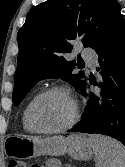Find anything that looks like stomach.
<instances>
[{"instance_id":"obj_1","label":"stomach","mask_w":125,"mask_h":167,"mask_svg":"<svg viewBox=\"0 0 125 167\" xmlns=\"http://www.w3.org/2000/svg\"><path fill=\"white\" fill-rule=\"evenodd\" d=\"M90 138L83 134H74L66 138L62 136L44 139L25 135L9 136L6 153L9 156L31 159L42 155H70L77 160H89L93 155Z\"/></svg>"}]
</instances>
